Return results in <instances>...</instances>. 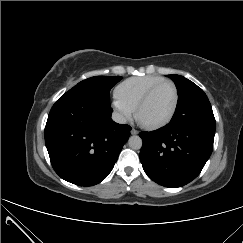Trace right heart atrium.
Listing matches in <instances>:
<instances>
[{
	"label": "right heart atrium",
	"instance_id": "obj_1",
	"mask_svg": "<svg viewBox=\"0 0 243 243\" xmlns=\"http://www.w3.org/2000/svg\"><path fill=\"white\" fill-rule=\"evenodd\" d=\"M113 107L122 121L128 120L131 117L132 111L116 98L113 102Z\"/></svg>",
	"mask_w": 243,
	"mask_h": 243
}]
</instances>
